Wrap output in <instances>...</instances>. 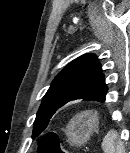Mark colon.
<instances>
[{
  "instance_id": "5ec220e1",
  "label": "colon",
  "mask_w": 130,
  "mask_h": 153,
  "mask_svg": "<svg viewBox=\"0 0 130 153\" xmlns=\"http://www.w3.org/2000/svg\"><path fill=\"white\" fill-rule=\"evenodd\" d=\"M57 137L49 134L43 137L38 144V153H60Z\"/></svg>"
}]
</instances>
